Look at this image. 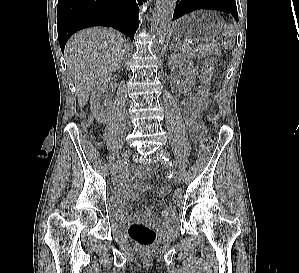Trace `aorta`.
Instances as JSON below:
<instances>
[{
	"label": "aorta",
	"instance_id": "762f6f07",
	"mask_svg": "<svg viewBox=\"0 0 299 273\" xmlns=\"http://www.w3.org/2000/svg\"><path fill=\"white\" fill-rule=\"evenodd\" d=\"M176 0H157L154 9L151 33L157 46L162 45L170 30Z\"/></svg>",
	"mask_w": 299,
	"mask_h": 273
}]
</instances>
